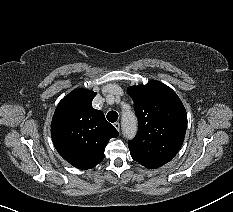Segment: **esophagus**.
I'll use <instances>...</instances> for the list:
<instances>
[{
	"mask_svg": "<svg viewBox=\"0 0 233 212\" xmlns=\"http://www.w3.org/2000/svg\"><path fill=\"white\" fill-rule=\"evenodd\" d=\"M113 126L116 128L117 131H120V123L119 122L113 123Z\"/></svg>",
	"mask_w": 233,
	"mask_h": 212,
	"instance_id": "34e87169",
	"label": "esophagus"
}]
</instances>
